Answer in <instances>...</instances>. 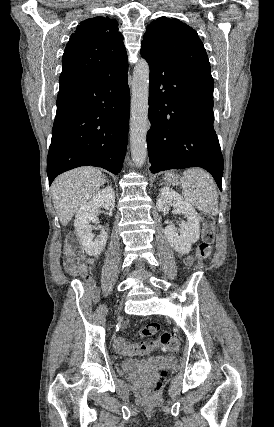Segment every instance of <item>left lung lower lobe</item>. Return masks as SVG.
Masks as SVG:
<instances>
[{
    "label": "left lung lower lobe",
    "instance_id": "obj_1",
    "mask_svg": "<svg viewBox=\"0 0 274 427\" xmlns=\"http://www.w3.org/2000/svg\"><path fill=\"white\" fill-rule=\"evenodd\" d=\"M150 67L147 133L150 171L201 167L222 191L223 156L213 128V85L141 47Z\"/></svg>",
    "mask_w": 274,
    "mask_h": 427
}]
</instances>
